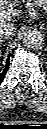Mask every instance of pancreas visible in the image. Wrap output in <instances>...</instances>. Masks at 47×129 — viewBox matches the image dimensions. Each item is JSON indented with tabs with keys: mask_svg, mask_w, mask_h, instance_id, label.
Masks as SVG:
<instances>
[{
	"mask_svg": "<svg viewBox=\"0 0 47 129\" xmlns=\"http://www.w3.org/2000/svg\"><path fill=\"white\" fill-rule=\"evenodd\" d=\"M23 1H25V0H23ZM27 1L28 2L33 1L34 4H37L40 7H43L44 9L47 8V0H27ZM33 3H30V4H33Z\"/></svg>",
	"mask_w": 47,
	"mask_h": 129,
	"instance_id": "pancreas-1",
	"label": "pancreas"
}]
</instances>
